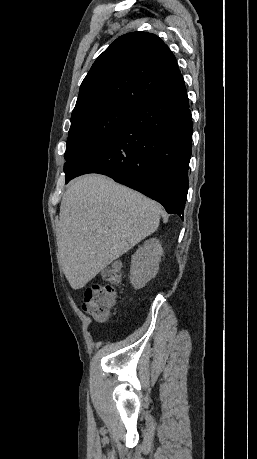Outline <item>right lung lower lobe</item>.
Masks as SVG:
<instances>
[{"mask_svg": "<svg viewBox=\"0 0 257 459\" xmlns=\"http://www.w3.org/2000/svg\"><path fill=\"white\" fill-rule=\"evenodd\" d=\"M191 143L192 117L182 78L135 108L130 121L66 183L86 173L104 174L183 219Z\"/></svg>", "mask_w": 257, "mask_h": 459, "instance_id": "right-lung-lower-lobe-1", "label": "right lung lower lobe"}]
</instances>
